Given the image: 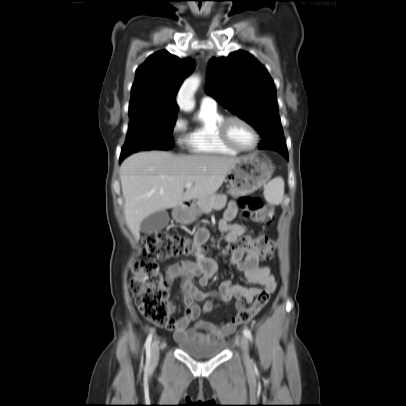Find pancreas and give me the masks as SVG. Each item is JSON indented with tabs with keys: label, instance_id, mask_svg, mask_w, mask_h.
I'll list each match as a JSON object with an SVG mask.
<instances>
[{
	"label": "pancreas",
	"instance_id": "obj_1",
	"mask_svg": "<svg viewBox=\"0 0 406 406\" xmlns=\"http://www.w3.org/2000/svg\"><path fill=\"white\" fill-rule=\"evenodd\" d=\"M227 203V195L214 194L206 198H199L196 206L200 213H209L212 210H221Z\"/></svg>",
	"mask_w": 406,
	"mask_h": 406
}]
</instances>
